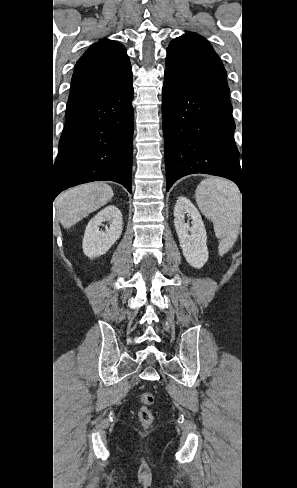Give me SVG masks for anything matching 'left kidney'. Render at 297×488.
<instances>
[{
  "mask_svg": "<svg viewBox=\"0 0 297 488\" xmlns=\"http://www.w3.org/2000/svg\"><path fill=\"white\" fill-rule=\"evenodd\" d=\"M185 214L191 217L192 226L185 223ZM174 225L186 261L194 268L203 267L208 260L205 226L199 211L184 196L177 199L174 207Z\"/></svg>",
  "mask_w": 297,
  "mask_h": 488,
  "instance_id": "left-kidney-1",
  "label": "left kidney"
}]
</instances>
